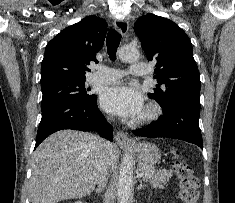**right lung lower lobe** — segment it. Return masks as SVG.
Returning a JSON list of instances; mask_svg holds the SVG:
<instances>
[{
	"label": "right lung lower lobe",
	"instance_id": "98d812e1",
	"mask_svg": "<svg viewBox=\"0 0 235 203\" xmlns=\"http://www.w3.org/2000/svg\"><path fill=\"white\" fill-rule=\"evenodd\" d=\"M97 96L82 100H61L42 108L35 148L50 134L63 130H96L101 137L113 141L112 126L97 107Z\"/></svg>",
	"mask_w": 235,
	"mask_h": 203
}]
</instances>
